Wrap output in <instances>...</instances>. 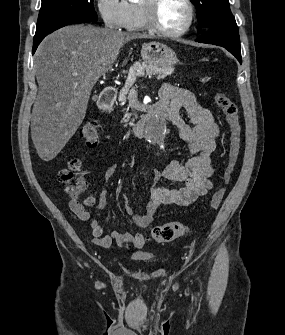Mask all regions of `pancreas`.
Here are the masks:
<instances>
[{
	"instance_id": "cf45deb5",
	"label": "pancreas",
	"mask_w": 285,
	"mask_h": 335,
	"mask_svg": "<svg viewBox=\"0 0 285 335\" xmlns=\"http://www.w3.org/2000/svg\"><path fill=\"white\" fill-rule=\"evenodd\" d=\"M139 70V71H138ZM175 68L173 66H156V64H134L131 66L130 71H128V79L125 81V85L120 88L122 93H129L133 90V84H140L142 82L143 72L146 74H155L158 81H165V79L174 72ZM126 120H120V123H131L130 118L136 119L138 114L133 112L132 114H125Z\"/></svg>"
}]
</instances>
